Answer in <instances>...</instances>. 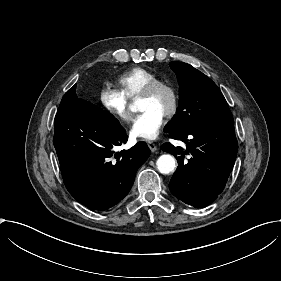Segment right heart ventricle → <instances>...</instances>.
<instances>
[{
  "mask_svg": "<svg viewBox=\"0 0 281 281\" xmlns=\"http://www.w3.org/2000/svg\"><path fill=\"white\" fill-rule=\"evenodd\" d=\"M159 77L149 69L141 66L133 67L117 79L120 93L127 101L137 99L144 89Z\"/></svg>",
  "mask_w": 281,
  "mask_h": 281,
  "instance_id": "right-heart-ventricle-1",
  "label": "right heart ventricle"
}]
</instances>
